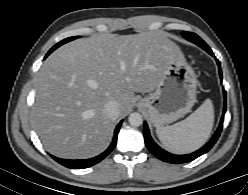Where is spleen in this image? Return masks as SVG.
<instances>
[{
    "instance_id": "spleen-1",
    "label": "spleen",
    "mask_w": 248,
    "mask_h": 195,
    "mask_svg": "<svg viewBox=\"0 0 248 195\" xmlns=\"http://www.w3.org/2000/svg\"><path fill=\"white\" fill-rule=\"evenodd\" d=\"M214 124V109L210 99L186 119L171 125L156 128L163 146L175 154L193 152L208 140Z\"/></svg>"
}]
</instances>
